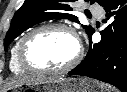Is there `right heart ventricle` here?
Returning a JSON list of instances; mask_svg holds the SVG:
<instances>
[{
	"mask_svg": "<svg viewBox=\"0 0 127 92\" xmlns=\"http://www.w3.org/2000/svg\"><path fill=\"white\" fill-rule=\"evenodd\" d=\"M23 37H21L13 46L11 50V55H10V62H9V68L12 73L17 74V75H22L25 74L27 71L20 65L18 61V46Z\"/></svg>",
	"mask_w": 127,
	"mask_h": 92,
	"instance_id": "right-heart-ventricle-1",
	"label": "right heart ventricle"
}]
</instances>
